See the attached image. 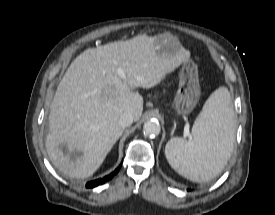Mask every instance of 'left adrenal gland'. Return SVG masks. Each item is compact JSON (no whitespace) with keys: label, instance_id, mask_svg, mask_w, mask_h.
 Here are the masks:
<instances>
[{"label":"left adrenal gland","instance_id":"1","mask_svg":"<svg viewBox=\"0 0 275 215\" xmlns=\"http://www.w3.org/2000/svg\"><path fill=\"white\" fill-rule=\"evenodd\" d=\"M175 129H176V122L174 121V127H173V130H172V133L174 132Z\"/></svg>","mask_w":275,"mask_h":215}]
</instances>
